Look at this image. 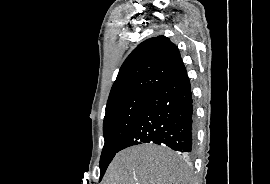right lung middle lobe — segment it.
<instances>
[{
    "label": "right lung middle lobe",
    "instance_id": "dd1d6c3e",
    "mask_svg": "<svg viewBox=\"0 0 270 184\" xmlns=\"http://www.w3.org/2000/svg\"><path fill=\"white\" fill-rule=\"evenodd\" d=\"M149 96L133 95L107 103L103 123L105 144L100 158V180Z\"/></svg>",
    "mask_w": 270,
    "mask_h": 184
}]
</instances>
